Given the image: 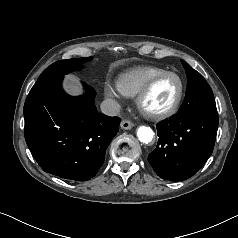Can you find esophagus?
Listing matches in <instances>:
<instances>
[{
	"label": "esophagus",
	"instance_id": "obj_1",
	"mask_svg": "<svg viewBox=\"0 0 238 238\" xmlns=\"http://www.w3.org/2000/svg\"><path fill=\"white\" fill-rule=\"evenodd\" d=\"M120 126L122 129L130 130L134 126V124L129 120H122Z\"/></svg>",
	"mask_w": 238,
	"mask_h": 238
}]
</instances>
